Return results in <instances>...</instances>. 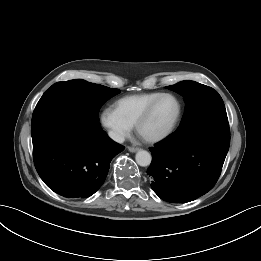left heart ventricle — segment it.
Masks as SVG:
<instances>
[{
	"mask_svg": "<svg viewBox=\"0 0 261 261\" xmlns=\"http://www.w3.org/2000/svg\"><path fill=\"white\" fill-rule=\"evenodd\" d=\"M177 111L176 102L170 98H162L155 106L149 119L143 124L140 134L151 137L165 130L173 120Z\"/></svg>",
	"mask_w": 261,
	"mask_h": 261,
	"instance_id": "left-heart-ventricle-1",
	"label": "left heart ventricle"
}]
</instances>
